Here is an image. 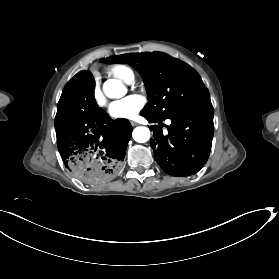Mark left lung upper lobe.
<instances>
[{
  "instance_id": "1",
  "label": "left lung upper lobe",
  "mask_w": 279,
  "mask_h": 279,
  "mask_svg": "<svg viewBox=\"0 0 279 279\" xmlns=\"http://www.w3.org/2000/svg\"><path fill=\"white\" fill-rule=\"evenodd\" d=\"M100 62L127 63L139 72L148 94V103L141 114L157 120L211 103L209 92L196 71L165 53H130L103 58Z\"/></svg>"
}]
</instances>
